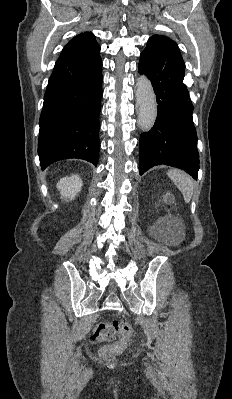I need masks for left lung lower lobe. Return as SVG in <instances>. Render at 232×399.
I'll use <instances>...</instances> for the list:
<instances>
[{
	"mask_svg": "<svg viewBox=\"0 0 232 399\" xmlns=\"http://www.w3.org/2000/svg\"><path fill=\"white\" fill-rule=\"evenodd\" d=\"M138 69L151 81L158 103L154 126L140 136L139 174L164 164L197 179L199 153L193 104L184 84L185 63L180 52L165 41L150 40L140 55Z\"/></svg>",
	"mask_w": 232,
	"mask_h": 399,
	"instance_id": "0a47b994",
	"label": "left lung lower lobe"
}]
</instances>
